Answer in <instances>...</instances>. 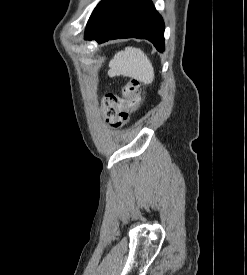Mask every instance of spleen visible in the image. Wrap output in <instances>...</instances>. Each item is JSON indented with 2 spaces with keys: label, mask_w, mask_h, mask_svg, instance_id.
Segmentation results:
<instances>
[{
  "label": "spleen",
  "mask_w": 247,
  "mask_h": 275,
  "mask_svg": "<svg viewBox=\"0 0 247 275\" xmlns=\"http://www.w3.org/2000/svg\"><path fill=\"white\" fill-rule=\"evenodd\" d=\"M109 74L132 77L144 84L154 80V69L147 55L135 47H126L124 51L115 54L109 63Z\"/></svg>",
  "instance_id": "1"
}]
</instances>
